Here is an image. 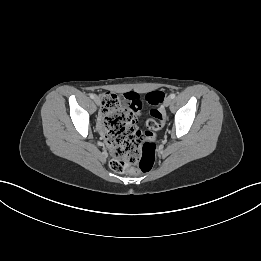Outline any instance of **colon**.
I'll list each match as a JSON object with an SVG mask.
<instances>
[{
    "mask_svg": "<svg viewBox=\"0 0 261 261\" xmlns=\"http://www.w3.org/2000/svg\"><path fill=\"white\" fill-rule=\"evenodd\" d=\"M164 93L152 91L143 98L131 94L125 103L114 93L101 94L102 120L101 129L111 152L110 167L117 173H125L133 166L142 172L151 170L156 156V133L167 124L166 110L163 107L152 109L147 120L144 137L135 126L131 112L140 109L144 102L158 106Z\"/></svg>",
    "mask_w": 261,
    "mask_h": 261,
    "instance_id": "obj_1",
    "label": "colon"
}]
</instances>
